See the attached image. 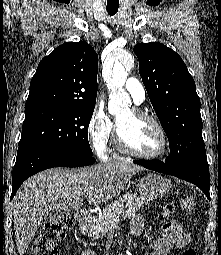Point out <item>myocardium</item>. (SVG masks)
Segmentation results:
<instances>
[{"instance_id": "obj_1", "label": "myocardium", "mask_w": 221, "mask_h": 255, "mask_svg": "<svg viewBox=\"0 0 221 255\" xmlns=\"http://www.w3.org/2000/svg\"><path fill=\"white\" fill-rule=\"evenodd\" d=\"M132 113L137 118L141 120L149 121L156 127V129L158 130L161 136V142H162L161 149L155 154H143V153L137 152L126 143L124 138L119 133L118 128H116L115 142H116L117 148L124 154H127L135 158L143 159V160H158L163 158L168 152L169 142H168L166 131L164 127L162 126V124L154 116L138 108H133Z\"/></svg>"}]
</instances>
